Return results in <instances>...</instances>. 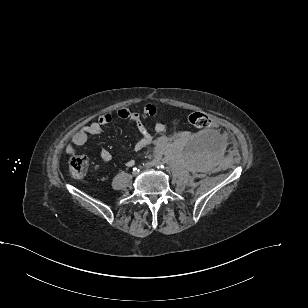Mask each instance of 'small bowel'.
I'll list each match as a JSON object with an SVG mask.
<instances>
[{
    "instance_id": "obj_1",
    "label": "small bowel",
    "mask_w": 308,
    "mask_h": 308,
    "mask_svg": "<svg viewBox=\"0 0 308 308\" xmlns=\"http://www.w3.org/2000/svg\"><path fill=\"white\" fill-rule=\"evenodd\" d=\"M156 114L157 107L153 104L146 105L142 112H137L127 107H123L117 111V117L123 120L131 121L141 136L135 145L136 150H142L154 142V138L151 132L148 130L145 122L148 119L154 117ZM112 120L113 117L111 114H104L101 115L96 121L84 126L82 129L76 132L72 137V143L69 144L66 148L67 154L74 155L76 153V146L84 145L87 142L89 135L99 134L103 127L110 124ZM153 128L158 133H162L166 130V126L161 122H156L153 125ZM167 142V136L162 135L157 139L156 145L163 147L165 144H167ZM100 158L104 162H109L112 159V154L108 150L103 149L100 152ZM125 164L126 166L131 167L135 164V162L134 160L130 159L127 160Z\"/></svg>"
}]
</instances>
